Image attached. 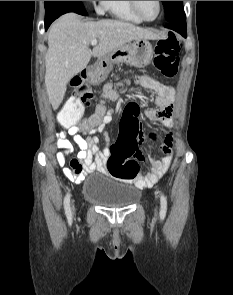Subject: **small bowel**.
I'll use <instances>...</instances> for the list:
<instances>
[{
  "label": "small bowel",
  "instance_id": "c3829d8e",
  "mask_svg": "<svg viewBox=\"0 0 233 295\" xmlns=\"http://www.w3.org/2000/svg\"><path fill=\"white\" fill-rule=\"evenodd\" d=\"M141 77L138 78V81ZM155 108L145 112L146 117L155 123H161L165 126H172L173 124V109L174 99L164 98L157 95L154 99ZM136 118L139 115V107L136 103H130L126 109ZM114 111L107 110L103 113L100 124L90 130L84 129L82 124L80 126L70 125L65 132L60 133L56 141V147L62 152L56 156L58 164L63 167L64 175L71 181L79 184L86 175L93 172L108 173L107 163L111 155V148L108 145V138L106 137L107 145L103 150L99 148V138L97 133H104L106 125L113 119ZM80 132L88 133V137L84 138ZM79 148L76 157H70L74 145ZM173 137L169 134L162 145V150L165 156L161 159L150 158L149 171L144 174H138L134 179L130 180L140 189L152 187L169 169L173 160L172 150ZM69 167H64L66 159L69 158Z\"/></svg>",
  "mask_w": 233,
  "mask_h": 295
}]
</instances>
